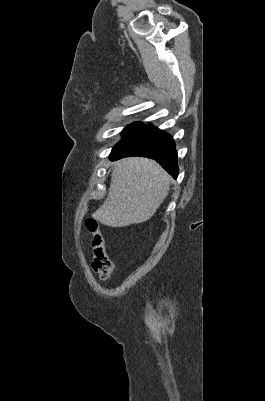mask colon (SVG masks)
<instances>
[{
    "instance_id": "1",
    "label": "colon",
    "mask_w": 265,
    "mask_h": 401,
    "mask_svg": "<svg viewBox=\"0 0 265 401\" xmlns=\"http://www.w3.org/2000/svg\"><path fill=\"white\" fill-rule=\"evenodd\" d=\"M85 226L91 234L92 268L101 279H107L113 271V262L106 253L99 224L96 220L89 218L85 221Z\"/></svg>"
}]
</instances>
